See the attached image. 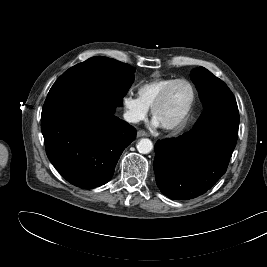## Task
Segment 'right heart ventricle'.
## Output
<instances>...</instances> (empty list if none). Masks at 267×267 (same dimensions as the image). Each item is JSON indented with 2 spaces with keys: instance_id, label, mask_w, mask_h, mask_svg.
<instances>
[{
  "instance_id": "e07e8e85",
  "label": "right heart ventricle",
  "mask_w": 267,
  "mask_h": 267,
  "mask_svg": "<svg viewBox=\"0 0 267 267\" xmlns=\"http://www.w3.org/2000/svg\"><path fill=\"white\" fill-rule=\"evenodd\" d=\"M176 80L175 78H156L150 81H147L139 86L138 96L141 100L150 107L155 98L161 92V90L166 87L168 84Z\"/></svg>"
}]
</instances>
